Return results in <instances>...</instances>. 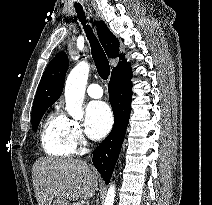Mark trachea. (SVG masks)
<instances>
[{
	"instance_id": "trachea-1",
	"label": "trachea",
	"mask_w": 212,
	"mask_h": 205,
	"mask_svg": "<svg viewBox=\"0 0 212 205\" xmlns=\"http://www.w3.org/2000/svg\"><path fill=\"white\" fill-rule=\"evenodd\" d=\"M75 9L78 13V17H79L80 21L84 25L85 33L90 42L92 57L95 62V65H96L97 72L102 79L107 80L110 75V65H109V61L105 55V52L102 49L96 36L92 32L91 28L88 25H85L86 20L84 17L82 6L76 4Z\"/></svg>"
}]
</instances>
